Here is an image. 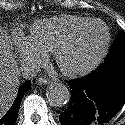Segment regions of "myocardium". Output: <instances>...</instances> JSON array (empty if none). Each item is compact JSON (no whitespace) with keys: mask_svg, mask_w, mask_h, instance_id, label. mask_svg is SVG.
<instances>
[{"mask_svg":"<svg viewBox=\"0 0 125 125\" xmlns=\"http://www.w3.org/2000/svg\"><path fill=\"white\" fill-rule=\"evenodd\" d=\"M93 25L101 26L104 32V39H103L99 52L92 59H90L89 61H87L86 63L78 67H74V68L66 67L62 61L64 52L77 40V38L85 30H87ZM110 42H111V34L106 24L96 19L88 20L81 26L75 28L63 40H61L58 43V45L55 47L54 52H53L55 63L60 69V71L62 72V74L67 77L76 78L79 76L86 75L89 72L96 69L101 64V62L103 61V59L108 53Z\"/></svg>","mask_w":125,"mask_h":125,"instance_id":"obj_1","label":"myocardium"}]
</instances>
